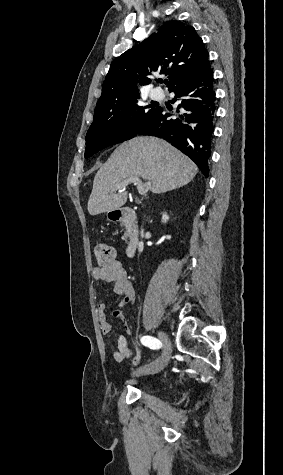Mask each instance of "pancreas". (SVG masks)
<instances>
[{
	"label": "pancreas",
	"mask_w": 283,
	"mask_h": 475,
	"mask_svg": "<svg viewBox=\"0 0 283 475\" xmlns=\"http://www.w3.org/2000/svg\"><path fill=\"white\" fill-rule=\"evenodd\" d=\"M128 236H129V234H127V232H126V234H125L126 241H127Z\"/></svg>",
	"instance_id": "obj_1"
}]
</instances>
